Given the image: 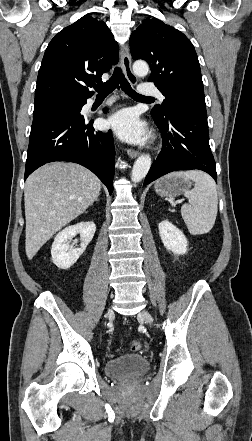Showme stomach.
I'll return each instance as SVG.
<instances>
[{"label":"stomach","mask_w":252,"mask_h":441,"mask_svg":"<svg viewBox=\"0 0 252 441\" xmlns=\"http://www.w3.org/2000/svg\"><path fill=\"white\" fill-rule=\"evenodd\" d=\"M192 182L180 177H163L155 183L156 193L160 196L175 197L189 190Z\"/></svg>","instance_id":"0dacf381"}]
</instances>
